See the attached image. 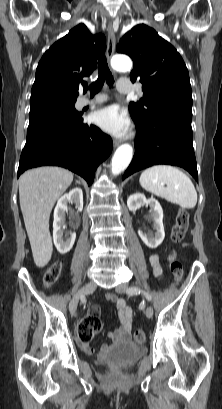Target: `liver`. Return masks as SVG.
Returning a JSON list of instances; mask_svg holds the SVG:
<instances>
[{
    "label": "liver",
    "mask_w": 222,
    "mask_h": 409,
    "mask_svg": "<svg viewBox=\"0 0 222 409\" xmlns=\"http://www.w3.org/2000/svg\"><path fill=\"white\" fill-rule=\"evenodd\" d=\"M72 181L70 171L52 166L31 169L19 179L20 207L37 267L46 266L51 259L50 213Z\"/></svg>",
    "instance_id": "obj_1"
}]
</instances>
